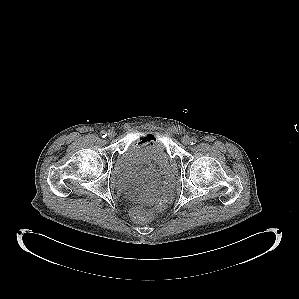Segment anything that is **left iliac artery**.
Wrapping results in <instances>:
<instances>
[{
	"label": "left iliac artery",
	"instance_id": "obj_1",
	"mask_svg": "<svg viewBox=\"0 0 299 299\" xmlns=\"http://www.w3.org/2000/svg\"><path fill=\"white\" fill-rule=\"evenodd\" d=\"M196 142H197V139L196 138H191V141H190V144H196Z\"/></svg>",
	"mask_w": 299,
	"mask_h": 299
}]
</instances>
